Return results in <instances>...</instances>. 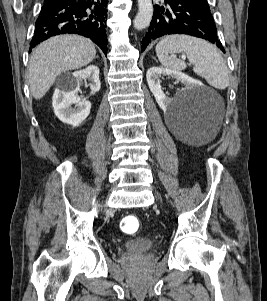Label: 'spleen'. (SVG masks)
I'll return each mask as SVG.
<instances>
[{"instance_id":"spleen-1","label":"spleen","mask_w":267,"mask_h":301,"mask_svg":"<svg viewBox=\"0 0 267 301\" xmlns=\"http://www.w3.org/2000/svg\"><path fill=\"white\" fill-rule=\"evenodd\" d=\"M156 55L167 69L182 71L186 63L173 57V53L184 52L193 71L212 87L223 90L229 85V72L221 54L207 41L188 36L170 35L156 45Z\"/></svg>"}]
</instances>
